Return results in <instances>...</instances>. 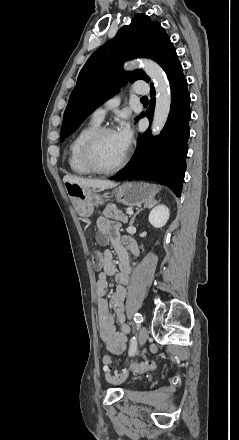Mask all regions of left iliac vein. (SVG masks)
Wrapping results in <instances>:
<instances>
[{"label":"left iliac vein","mask_w":239,"mask_h":440,"mask_svg":"<svg viewBox=\"0 0 239 440\" xmlns=\"http://www.w3.org/2000/svg\"><path fill=\"white\" fill-rule=\"evenodd\" d=\"M148 338V331L146 327H142L140 329L139 335H138V342L142 346L145 344L146 340Z\"/></svg>","instance_id":"obj_1"}]
</instances>
